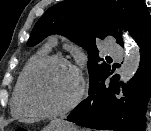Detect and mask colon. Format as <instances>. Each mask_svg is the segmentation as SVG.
<instances>
[{"mask_svg":"<svg viewBox=\"0 0 151 131\" xmlns=\"http://www.w3.org/2000/svg\"><path fill=\"white\" fill-rule=\"evenodd\" d=\"M15 131H28L26 128H23V127H19L17 128Z\"/></svg>","mask_w":151,"mask_h":131,"instance_id":"1","label":"colon"}]
</instances>
